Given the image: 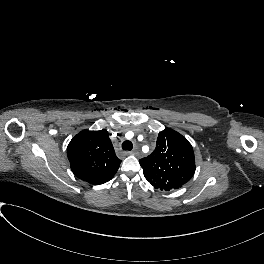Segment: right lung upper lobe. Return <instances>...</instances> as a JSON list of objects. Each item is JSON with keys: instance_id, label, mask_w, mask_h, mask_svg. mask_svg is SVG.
Wrapping results in <instances>:
<instances>
[{"instance_id": "1", "label": "right lung upper lobe", "mask_w": 264, "mask_h": 264, "mask_svg": "<svg viewBox=\"0 0 264 264\" xmlns=\"http://www.w3.org/2000/svg\"><path fill=\"white\" fill-rule=\"evenodd\" d=\"M67 156L74 175L93 185L111 180L121 163L105 129L78 133L67 147Z\"/></svg>"}]
</instances>
